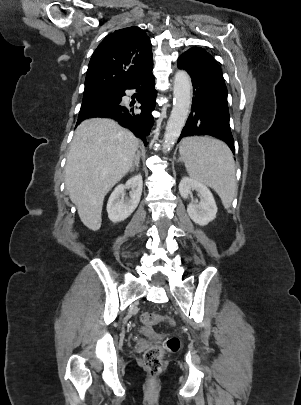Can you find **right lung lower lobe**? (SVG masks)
I'll return each mask as SVG.
<instances>
[{"label": "right lung lower lobe", "instance_id": "right-lung-lower-lobe-1", "mask_svg": "<svg viewBox=\"0 0 301 405\" xmlns=\"http://www.w3.org/2000/svg\"><path fill=\"white\" fill-rule=\"evenodd\" d=\"M152 68L146 69L135 81L129 84L121 91V97L116 102L98 106L89 110L80 111L77 124L87 118L102 117L112 118L118 123L130 129L137 137L141 138L145 145L146 136L149 134L153 125V116L151 112L155 107V98L157 92L154 88L155 79L152 74ZM126 89H136L138 94L136 98L141 104V114H134L131 106H123L121 99L125 95Z\"/></svg>", "mask_w": 301, "mask_h": 405}]
</instances>
